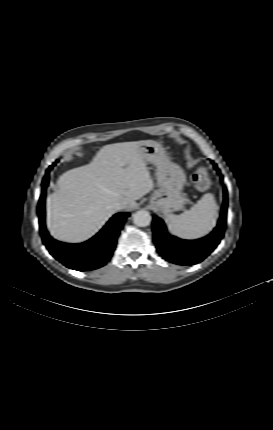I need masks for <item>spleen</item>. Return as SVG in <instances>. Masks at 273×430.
I'll return each mask as SVG.
<instances>
[{
  "label": "spleen",
  "mask_w": 273,
  "mask_h": 430,
  "mask_svg": "<svg viewBox=\"0 0 273 430\" xmlns=\"http://www.w3.org/2000/svg\"><path fill=\"white\" fill-rule=\"evenodd\" d=\"M216 202L214 195L207 193L189 210L180 215L168 214L166 223L179 238L195 240L206 236L215 226Z\"/></svg>",
  "instance_id": "obj_1"
}]
</instances>
